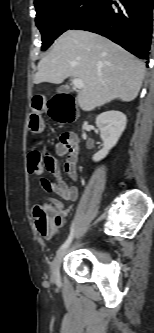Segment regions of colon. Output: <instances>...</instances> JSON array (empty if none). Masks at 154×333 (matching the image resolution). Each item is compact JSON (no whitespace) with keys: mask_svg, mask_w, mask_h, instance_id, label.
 Returning a JSON list of instances; mask_svg holds the SVG:
<instances>
[{"mask_svg":"<svg viewBox=\"0 0 154 333\" xmlns=\"http://www.w3.org/2000/svg\"><path fill=\"white\" fill-rule=\"evenodd\" d=\"M44 108V100L41 97H36L32 101L31 115L29 120V127L32 131L38 132L42 128V119L40 113ZM29 172L39 174L44 170V161L40 152L37 150H30L27 155ZM34 216L36 218L37 228L40 233L47 237L57 236L58 230L62 222V211L55 207L43 204L38 205L34 209Z\"/></svg>","mask_w":154,"mask_h":333,"instance_id":"1","label":"colon"}]
</instances>
